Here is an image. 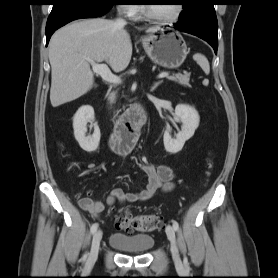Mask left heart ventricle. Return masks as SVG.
<instances>
[{
	"label": "left heart ventricle",
	"mask_w": 278,
	"mask_h": 278,
	"mask_svg": "<svg viewBox=\"0 0 278 278\" xmlns=\"http://www.w3.org/2000/svg\"><path fill=\"white\" fill-rule=\"evenodd\" d=\"M150 9L158 17L170 18L177 11V4L151 5Z\"/></svg>",
	"instance_id": "1"
}]
</instances>
